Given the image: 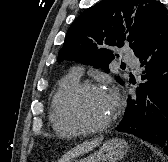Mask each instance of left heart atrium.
Here are the masks:
<instances>
[{"instance_id":"39dd6f15","label":"left heart atrium","mask_w":168,"mask_h":162,"mask_svg":"<svg viewBox=\"0 0 168 162\" xmlns=\"http://www.w3.org/2000/svg\"><path fill=\"white\" fill-rule=\"evenodd\" d=\"M109 98H110L113 106H115V104H116V97L114 95H109Z\"/></svg>"}]
</instances>
